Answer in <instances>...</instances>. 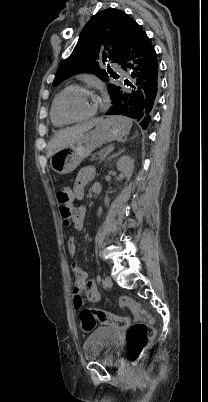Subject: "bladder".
<instances>
[{"label":"bladder","instance_id":"1","mask_svg":"<svg viewBox=\"0 0 208 402\" xmlns=\"http://www.w3.org/2000/svg\"><path fill=\"white\" fill-rule=\"evenodd\" d=\"M121 341L118 330L109 326L95 328L84 344L85 358L114 361Z\"/></svg>","mask_w":208,"mask_h":402}]
</instances>
